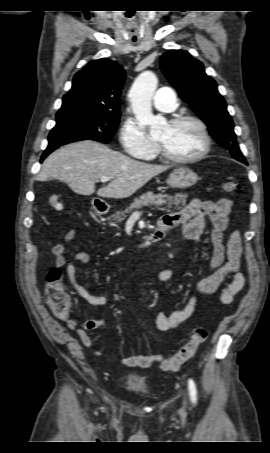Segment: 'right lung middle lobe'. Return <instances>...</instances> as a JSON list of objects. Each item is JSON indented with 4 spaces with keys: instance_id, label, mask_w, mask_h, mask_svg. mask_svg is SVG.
Instances as JSON below:
<instances>
[{
    "instance_id": "right-lung-middle-lobe-1",
    "label": "right lung middle lobe",
    "mask_w": 270,
    "mask_h": 453,
    "mask_svg": "<svg viewBox=\"0 0 270 453\" xmlns=\"http://www.w3.org/2000/svg\"><path fill=\"white\" fill-rule=\"evenodd\" d=\"M119 114L79 112L57 117L56 126L51 130L49 145H64L80 140H94L108 143L119 124Z\"/></svg>"
}]
</instances>
